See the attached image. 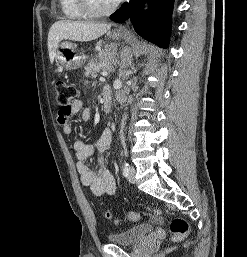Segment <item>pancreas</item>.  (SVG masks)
<instances>
[{
  "mask_svg": "<svg viewBox=\"0 0 247 257\" xmlns=\"http://www.w3.org/2000/svg\"><path fill=\"white\" fill-rule=\"evenodd\" d=\"M113 61L106 56H101L100 60L97 58L91 59L89 63L85 66V76L86 77H97V73L101 70L111 71L113 69Z\"/></svg>",
  "mask_w": 247,
  "mask_h": 257,
  "instance_id": "pancreas-1",
  "label": "pancreas"
}]
</instances>
